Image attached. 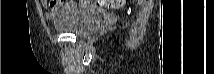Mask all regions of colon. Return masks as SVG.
I'll return each instance as SVG.
<instances>
[{
    "instance_id": "5ec220e1",
    "label": "colon",
    "mask_w": 214,
    "mask_h": 74,
    "mask_svg": "<svg viewBox=\"0 0 214 74\" xmlns=\"http://www.w3.org/2000/svg\"><path fill=\"white\" fill-rule=\"evenodd\" d=\"M55 2L56 1H52V3ZM90 2L99 8L120 9L125 5V0H95Z\"/></svg>"
}]
</instances>
